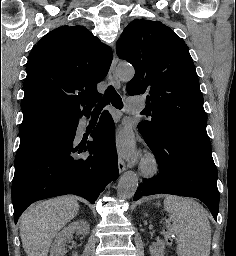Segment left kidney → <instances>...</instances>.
I'll list each match as a JSON object with an SVG mask.
<instances>
[{
	"label": "left kidney",
	"mask_w": 236,
	"mask_h": 256,
	"mask_svg": "<svg viewBox=\"0 0 236 256\" xmlns=\"http://www.w3.org/2000/svg\"><path fill=\"white\" fill-rule=\"evenodd\" d=\"M149 252L151 256H164L165 254V244L163 240H158L155 246H150Z\"/></svg>",
	"instance_id": "left-kidney-1"
}]
</instances>
